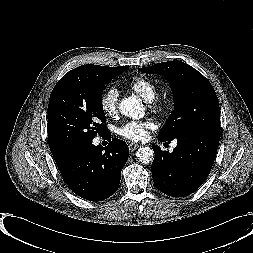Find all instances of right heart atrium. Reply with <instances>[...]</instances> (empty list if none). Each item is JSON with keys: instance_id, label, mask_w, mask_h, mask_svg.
<instances>
[{"instance_id": "obj_1", "label": "right heart atrium", "mask_w": 253, "mask_h": 253, "mask_svg": "<svg viewBox=\"0 0 253 253\" xmlns=\"http://www.w3.org/2000/svg\"><path fill=\"white\" fill-rule=\"evenodd\" d=\"M119 93L115 88L106 90L100 98L102 110L108 115H115L118 111Z\"/></svg>"}]
</instances>
